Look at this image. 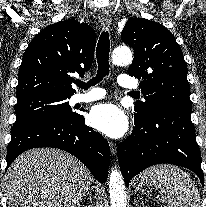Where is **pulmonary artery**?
<instances>
[{
	"label": "pulmonary artery",
	"mask_w": 206,
	"mask_h": 207,
	"mask_svg": "<svg viewBox=\"0 0 206 207\" xmlns=\"http://www.w3.org/2000/svg\"><path fill=\"white\" fill-rule=\"evenodd\" d=\"M118 83L126 88L134 89L137 87L136 84L131 82V77L126 74H121L118 77ZM106 95V91L102 88L91 87L87 92L84 93H76L73 96V101L75 103H88L96 100H100L104 98Z\"/></svg>",
	"instance_id": "pulmonary-artery-1"
}]
</instances>
